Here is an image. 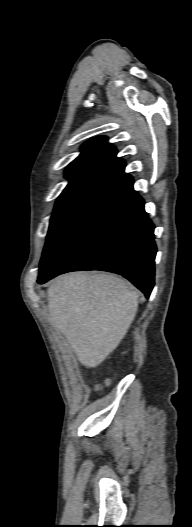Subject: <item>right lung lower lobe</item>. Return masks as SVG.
<instances>
[{"mask_svg":"<svg viewBox=\"0 0 192 527\" xmlns=\"http://www.w3.org/2000/svg\"><path fill=\"white\" fill-rule=\"evenodd\" d=\"M154 225L133 178L122 171L88 203L40 262L37 282L101 270L130 280L148 298L154 286Z\"/></svg>","mask_w":192,"mask_h":527,"instance_id":"98d812e1","label":"right lung lower lobe"}]
</instances>
